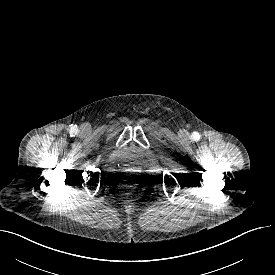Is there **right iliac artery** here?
I'll list each match as a JSON object with an SVG mask.
<instances>
[{
  "mask_svg": "<svg viewBox=\"0 0 275 275\" xmlns=\"http://www.w3.org/2000/svg\"><path fill=\"white\" fill-rule=\"evenodd\" d=\"M76 131H77V130H76L75 127H72V128H71V132H72V133H76Z\"/></svg>",
  "mask_w": 275,
  "mask_h": 275,
  "instance_id": "obj_1",
  "label": "right iliac artery"
}]
</instances>
